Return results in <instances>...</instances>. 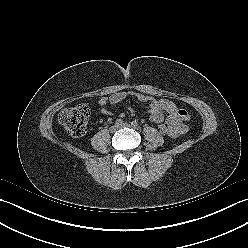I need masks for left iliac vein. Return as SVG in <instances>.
Returning <instances> with one entry per match:
<instances>
[{
  "instance_id": "obj_1",
  "label": "left iliac vein",
  "mask_w": 248,
  "mask_h": 248,
  "mask_svg": "<svg viewBox=\"0 0 248 248\" xmlns=\"http://www.w3.org/2000/svg\"><path fill=\"white\" fill-rule=\"evenodd\" d=\"M120 127H130V124H128V123H123V124L120 125Z\"/></svg>"
}]
</instances>
